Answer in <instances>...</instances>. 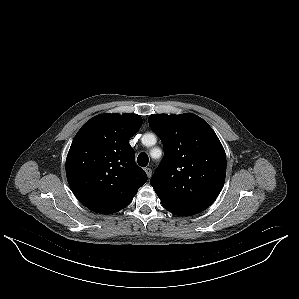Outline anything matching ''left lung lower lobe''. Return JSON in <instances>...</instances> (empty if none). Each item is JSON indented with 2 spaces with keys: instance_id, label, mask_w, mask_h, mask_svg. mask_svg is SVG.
Segmentation results:
<instances>
[{
  "instance_id": "obj_1",
  "label": "left lung lower lobe",
  "mask_w": 299,
  "mask_h": 299,
  "mask_svg": "<svg viewBox=\"0 0 299 299\" xmlns=\"http://www.w3.org/2000/svg\"><path fill=\"white\" fill-rule=\"evenodd\" d=\"M162 205L165 209H167L171 213L179 215V216H191V215H194V214H197V213L203 211V210H192V209H178V208L170 207L165 204H162Z\"/></svg>"
}]
</instances>
